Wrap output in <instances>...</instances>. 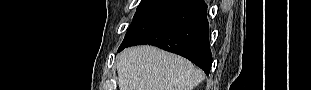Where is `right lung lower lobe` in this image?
Here are the masks:
<instances>
[{"label":"right lung lower lobe","instance_id":"right-lung-lower-lobe-1","mask_svg":"<svg viewBox=\"0 0 311 90\" xmlns=\"http://www.w3.org/2000/svg\"><path fill=\"white\" fill-rule=\"evenodd\" d=\"M207 5L203 0H192L172 19L148 32L125 47L150 44L186 57L209 74L212 55L209 46Z\"/></svg>","mask_w":311,"mask_h":90}]
</instances>
